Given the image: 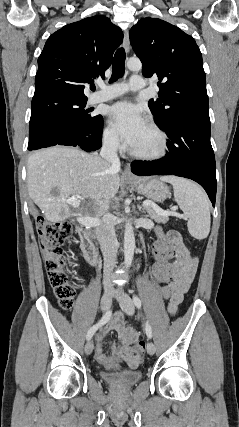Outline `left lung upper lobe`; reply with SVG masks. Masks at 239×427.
I'll list each match as a JSON object with an SVG mask.
<instances>
[{
    "mask_svg": "<svg viewBox=\"0 0 239 427\" xmlns=\"http://www.w3.org/2000/svg\"><path fill=\"white\" fill-rule=\"evenodd\" d=\"M129 36L143 75L159 79V98L148 102L155 123L163 126L180 117L210 121L202 55L195 40L166 21L148 17L139 20Z\"/></svg>",
    "mask_w": 239,
    "mask_h": 427,
    "instance_id": "obj_1",
    "label": "left lung upper lobe"
}]
</instances>
